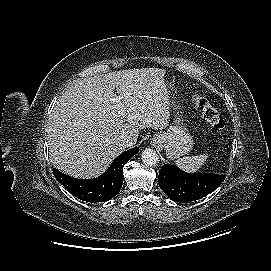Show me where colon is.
<instances>
[{
    "label": "colon",
    "instance_id": "colon-1",
    "mask_svg": "<svg viewBox=\"0 0 271 271\" xmlns=\"http://www.w3.org/2000/svg\"><path fill=\"white\" fill-rule=\"evenodd\" d=\"M192 100L195 103L196 107L202 113L205 121L212 129L216 131L224 130L225 121L220 118L217 110L211 106L207 99L200 95L195 94L193 95Z\"/></svg>",
    "mask_w": 271,
    "mask_h": 271
}]
</instances>
